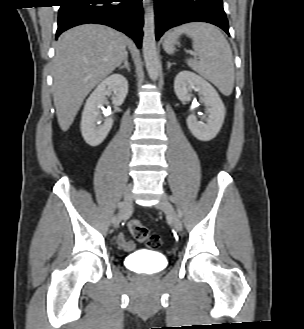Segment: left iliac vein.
<instances>
[{
    "label": "left iliac vein",
    "instance_id": "4c4485c4",
    "mask_svg": "<svg viewBox=\"0 0 304 329\" xmlns=\"http://www.w3.org/2000/svg\"><path fill=\"white\" fill-rule=\"evenodd\" d=\"M156 208L162 210L171 219L172 225L177 231H181L183 228L182 221L179 215L175 212L172 205L170 204L166 194H163L160 201L156 204Z\"/></svg>",
    "mask_w": 304,
    "mask_h": 329
}]
</instances>
